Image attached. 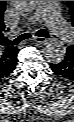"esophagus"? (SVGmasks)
I'll use <instances>...</instances> for the list:
<instances>
[{
    "label": "esophagus",
    "instance_id": "34e87169",
    "mask_svg": "<svg viewBox=\"0 0 74 122\" xmlns=\"http://www.w3.org/2000/svg\"><path fill=\"white\" fill-rule=\"evenodd\" d=\"M34 42L38 44H43V43H47L48 40L45 37H35Z\"/></svg>",
    "mask_w": 74,
    "mask_h": 122
}]
</instances>
